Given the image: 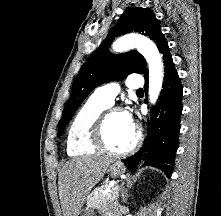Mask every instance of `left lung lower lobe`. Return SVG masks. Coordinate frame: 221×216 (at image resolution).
Listing matches in <instances>:
<instances>
[{
  "mask_svg": "<svg viewBox=\"0 0 221 216\" xmlns=\"http://www.w3.org/2000/svg\"><path fill=\"white\" fill-rule=\"evenodd\" d=\"M164 59V81L159 102L152 110L150 125L144 146L134 155L124 160L125 165L133 170L138 160L147 151L145 165L161 169L167 177H171L175 154L178 149L180 132V116L182 114V85L174 67L168 43L159 48ZM145 92L148 89V72L144 74Z\"/></svg>",
  "mask_w": 221,
  "mask_h": 216,
  "instance_id": "left-lung-lower-lobe-1",
  "label": "left lung lower lobe"
}]
</instances>
